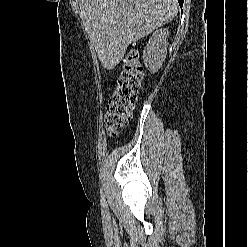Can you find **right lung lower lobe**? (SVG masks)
<instances>
[{
	"instance_id": "1",
	"label": "right lung lower lobe",
	"mask_w": 248,
	"mask_h": 247,
	"mask_svg": "<svg viewBox=\"0 0 248 247\" xmlns=\"http://www.w3.org/2000/svg\"><path fill=\"white\" fill-rule=\"evenodd\" d=\"M180 7H182L184 0H178Z\"/></svg>"
}]
</instances>
